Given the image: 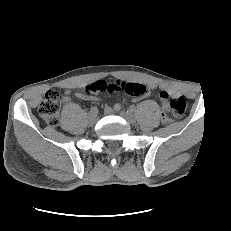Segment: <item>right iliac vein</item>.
<instances>
[{
  "label": "right iliac vein",
  "instance_id": "right-iliac-vein-1",
  "mask_svg": "<svg viewBox=\"0 0 231 231\" xmlns=\"http://www.w3.org/2000/svg\"><path fill=\"white\" fill-rule=\"evenodd\" d=\"M98 121V117L96 115L90 114L89 115V123L94 125Z\"/></svg>",
  "mask_w": 231,
  "mask_h": 231
}]
</instances>
